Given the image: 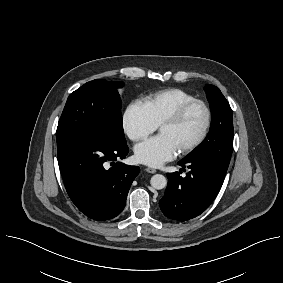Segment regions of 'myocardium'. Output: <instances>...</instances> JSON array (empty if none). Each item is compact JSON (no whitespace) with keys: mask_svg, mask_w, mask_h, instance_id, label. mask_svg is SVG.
<instances>
[{"mask_svg":"<svg viewBox=\"0 0 283 283\" xmlns=\"http://www.w3.org/2000/svg\"><path fill=\"white\" fill-rule=\"evenodd\" d=\"M196 106H200L203 109L205 114V123L199 136L191 143L179 149V153L183 155L197 149L207 138L212 124V112L209 105L205 101L195 98L181 105L172 115L165 118L159 124V128L162 126H177L185 119L190 110Z\"/></svg>","mask_w":283,"mask_h":283,"instance_id":"f54148a6","label":"myocardium"}]
</instances>
